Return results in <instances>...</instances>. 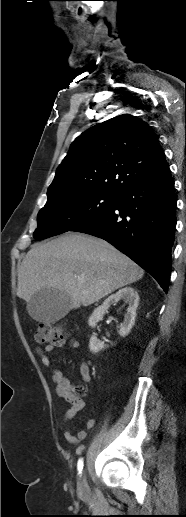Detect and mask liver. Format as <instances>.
<instances>
[{
    "instance_id": "1",
    "label": "liver",
    "mask_w": 186,
    "mask_h": 517,
    "mask_svg": "<svg viewBox=\"0 0 186 517\" xmlns=\"http://www.w3.org/2000/svg\"><path fill=\"white\" fill-rule=\"evenodd\" d=\"M143 275L141 267L105 240L70 232L32 246L18 269L17 296L28 303L38 291L56 289L70 297V309H77Z\"/></svg>"
}]
</instances>
